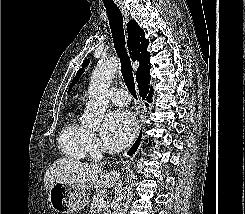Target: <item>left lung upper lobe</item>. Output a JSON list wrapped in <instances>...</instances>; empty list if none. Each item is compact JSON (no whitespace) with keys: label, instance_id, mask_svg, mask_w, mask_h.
<instances>
[{"label":"left lung upper lobe","instance_id":"1","mask_svg":"<svg viewBox=\"0 0 245 214\" xmlns=\"http://www.w3.org/2000/svg\"><path fill=\"white\" fill-rule=\"evenodd\" d=\"M90 62V59H86L83 64H82V68L77 72L76 76L74 77L72 83L69 86V90L68 92H70L72 90V86L78 81V78L83 74L84 72V68L88 66Z\"/></svg>","mask_w":245,"mask_h":214}]
</instances>
